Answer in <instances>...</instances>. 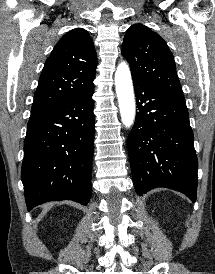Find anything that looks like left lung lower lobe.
<instances>
[{
	"instance_id": "0a47b994",
	"label": "left lung lower lobe",
	"mask_w": 215,
	"mask_h": 274,
	"mask_svg": "<svg viewBox=\"0 0 215 274\" xmlns=\"http://www.w3.org/2000/svg\"><path fill=\"white\" fill-rule=\"evenodd\" d=\"M133 83L138 111L128 154L136 193L166 187L195 202L198 161L185 99Z\"/></svg>"
}]
</instances>
